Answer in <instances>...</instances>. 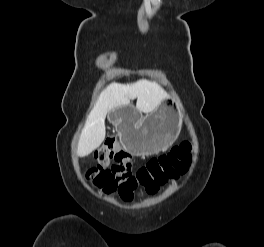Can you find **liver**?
<instances>
[{
    "label": "liver",
    "mask_w": 264,
    "mask_h": 247,
    "mask_svg": "<svg viewBox=\"0 0 264 247\" xmlns=\"http://www.w3.org/2000/svg\"><path fill=\"white\" fill-rule=\"evenodd\" d=\"M167 93L155 82L140 80L133 84H110L99 96L87 117L78 143V155L84 157L97 149L105 139V118L116 107L127 106L137 98L136 108L141 112L155 110Z\"/></svg>",
    "instance_id": "1"
}]
</instances>
